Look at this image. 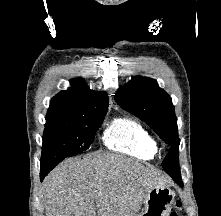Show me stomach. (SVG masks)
Returning a JSON list of instances; mask_svg holds the SVG:
<instances>
[{"label":"stomach","mask_w":221,"mask_h":216,"mask_svg":"<svg viewBox=\"0 0 221 216\" xmlns=\"http://www.w3.org/2000/svg\"><path fill=\"white\" fill-rule=\"evenodd\" d=\"M175 193L168 186L153 187L144 198V209L138 216H169Z\"/></svg>","instance_id":"1"}]
</instances>
